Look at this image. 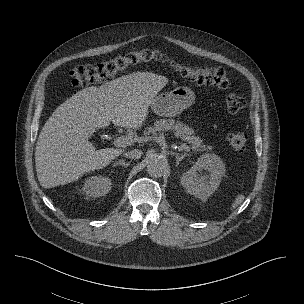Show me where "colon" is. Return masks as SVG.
<instances>
[{
  "instance_id": "1",
  "label": "colon",
  "mask_w": 304,
  "mask_h": 304,
  "mask_svg": "<svg viewBox=\"0 0 304 304\" xmlns=\"http://www.w3.org/2000/svg\"><path fill=\"white\" fill-rule=\"evenodd\" d=\"M151 61L168 62L181 75L200 85L227 89L230 84L227 72L221 67H199L171 59L158 50L141 49L107 61L73 68L69 73L70 85L83 87L103 82L131 67ZM225 106L229 113L235 114L244 109L246 100L240 95L229 94ZM247 141L248 136L243 131L231 132L227 136L229 146L236 153L245 151Z\"/></svg>"
}]
</instances>
